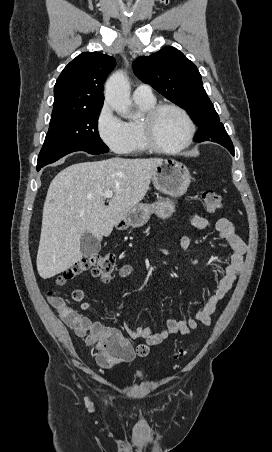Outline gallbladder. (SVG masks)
<instances>
[{
  "mask_svg": "<svg viewBox=\"0 0 272 452\" xmlns=\"http://www.w3.org/2000/svg\"><path fill=\"white\" fill-rule=\"evenodd\" d=\"M80 247L84 256H93L101 249L100 241L87 231L81 236Z\"/></svg>",
  "mask_w": 272,
  "mask_h": 452,
  "instance_id": "gallbladder-1",
  "label": "gallbladder"
}]
</instances>
